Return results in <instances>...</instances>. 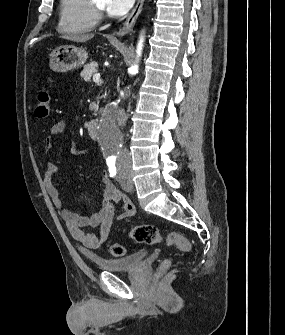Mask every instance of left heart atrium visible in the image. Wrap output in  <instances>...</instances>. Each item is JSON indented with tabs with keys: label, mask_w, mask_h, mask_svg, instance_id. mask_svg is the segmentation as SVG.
Masks as SVG:
<instances>
[{
	"label": "left heart atrium",
	"mask_w": 285,
	"mask_h": 335,
	"mask_svg": "<svg viewBox=\"0 0 285 335\" xmlns=\"http://www.w3.org/2000/svg\"><path fill=\"white\" fill-rule=\"evenodd\" d=\"M107 12L113 18L119 17L127 12L134 1H102Z\"/></svg>",
	"instance_id": "1"
}]
</instances>
